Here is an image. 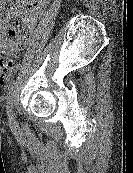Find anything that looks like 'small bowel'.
<instances>
[{
    "instance_id": "obj_1",
    "label": "small bowel",
    "mask_w": 133,
    "mask_h": 173,
    "mask_svg": "<svg viewBox=\"0 0 133 173\" xmlns=\"http://www.w3.org/2000/svg\"><path fill=\"white\" fill-rule=\"evenodd\" d=\"M10 0H0V8ZM49 0H19L12 5L5 15L0 18V48H5L9 44L8 36L22 37V43L18 50H22L29 35L33 32L36 24L41 18ZM14 17H22L23 31L19 33L17 25H9V21Z\"/></svg>"
}]
</instances>
